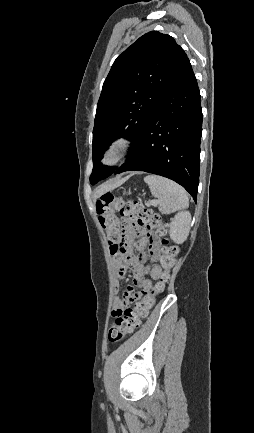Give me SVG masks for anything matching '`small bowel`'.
I'll return each instance as SVG.
<instances>
[{"instance_id": "c3829d8e", "label": "small bowel", "mask_w": 254, "mask_h": 433, "mask_svg": "<svg viewBox=\"0 0 254 433\" xmlns=\"http://www.w3.org/2000/svg\"><path fill=\"white\" fill-rule=\"evenodd\" d=\"M128 228V226H126ZM135 247L139 252V256H135L132 250V243L137 238ZM149 249L148 254L145 250ZM160 255V243L155 235L147 233L144 230L134 229L130 230L127 237V250L124 256H114L117 273L119 278H123L129 270L133 272V282L128 286L127 290L123 293L121 299L114 302V309L122 307L129 297L139 301L144 295L150 294L153 290V281L159 280L161 276V267L159 265H152L148 267L144 264L146 259L150 257L151 260H157ZM149 273L150 279H145L144 276ZM139 286L140 291L134 292V287ZM119 287V282H115L116 290Z\"/></svg>"}]
</instances>
